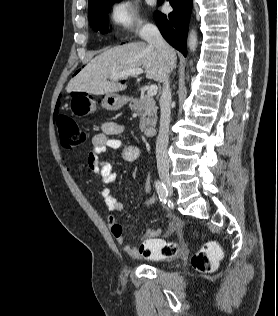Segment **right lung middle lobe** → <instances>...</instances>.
Here are the masks:
<instances>
[{"mask_svg": "<svg viewBox=\"0 0 278 316\" xmlns=\"http://www.w3.org/2000/svg\"><path fill=\"white\" fill-rule=\"evenodd\" d=\"M116 1L117 0H106L89 10V22L94 31H100L101 33L108 32L107 13Z\"/></svg>", "mask_w": 278, "mask_h": 316, "instance_id": "obj_1", "label": "right lung middle lobe"}]
</instances>
